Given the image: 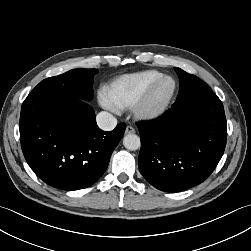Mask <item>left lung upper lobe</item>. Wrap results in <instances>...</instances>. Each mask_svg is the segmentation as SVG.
<instances>
[{
    "label": "left lung upper lobe",
    "instance_id": "1",
    "mask_svg": "<svg viewBox=\"0 0 251 251\" xmlns=\"http://www.w3.org/2000/svg\"><path fill=\"white\" fill-rule=\"evenodd\" d=\"M179 79H180V90L179 93L184 92L185 90H189L191 87L195 86V85H203L206 84L204 83L201 79H199L198 77L189 74L185 71H183L180 68H174Z\"/></svg>",
    "mask_w": 251,
    "mask_h": 251
}]
</instances>
